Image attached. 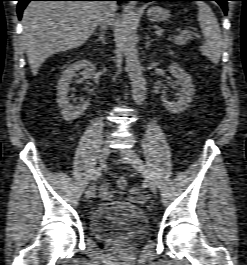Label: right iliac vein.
I'll return each instance as SVG.
<instances>
[{
  "label": "right iliac vein",
  "mask_w": 247,
  "mask_h": 265,
  "mask_svg": "<svg viewBox=\"0 0 247 265\" xmlns=\"http://www.w3.org/2000/svg\"><path fill=\"white\" fill-rule=\"evenodd\" d=\"M109 153H110V147H109V145L106 143V144H104L103 145V147L101 148V150H100V154H99V164L102 166L104 163H105V161H106V159L108 158V156H109ZM85 197L86 198H90V197H92V193H91V190H90V188L86 191V193H85Z\"/></svg>",
  "instance_id": "63e3f726"
}]
</instances>
